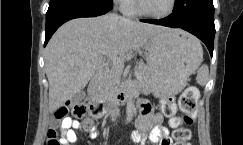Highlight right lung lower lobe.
I'll list each match as a JSON object with an SVG mask.
<instances>
[{"instance_id":"obj_1","label":"right lung lower lobe","mask_w":243,"mask_h":145,"mask_svg":"<svg viewBox=\"0 0 243 145\" xmlns=\"http://www.w3.org/2000/svg\"><path fill=\"white\" fill-rule=\"evenodd\" d=\"M112 0H50L46 13L45 44L53 33L68 20L78 17H95L107 13Z\"/></svg>"}]
</instances>
